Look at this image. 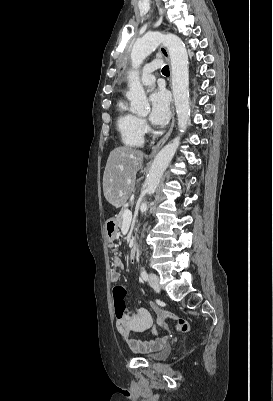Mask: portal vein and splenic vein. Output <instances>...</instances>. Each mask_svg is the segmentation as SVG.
<instances>
[{
	"instance_id": "18ae733b",
	"label": "portal vein and splenic vein",
	"mask_w": 273,
	"mask_h": 401,
	"mask_svg": "<svg viewBox=\"0 0 273 401\" xmlns=\"http://www.w3.org/2000/svg\"><path fill=\"white\" fill-rule=\"evenodd\" d=\"M123 221H126V223H131L132 213H131V211H129V209H127V211H124Z\"/></svg>"
}]
</instances>
